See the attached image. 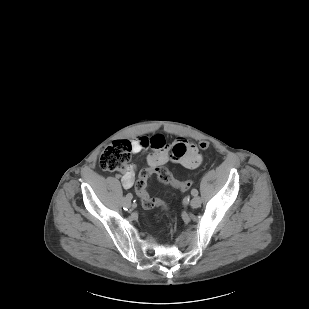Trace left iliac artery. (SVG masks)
<instances>
[{"mask_svg":"<svg viewBox=\"0 0 309 309\" xmlns=\"http://www.w3.org/2000/svg\"><path fill=\"white\" fill-rule=\"evenodd\" d=\"M191 194H192L193 196H197V195H198V191H197L196 189H193V190L191 191Z\"/></svg>","mask_w":309,"mask_h":309,"instance_id":"obj_1","label":"left iliac artery"}]
</instances>
